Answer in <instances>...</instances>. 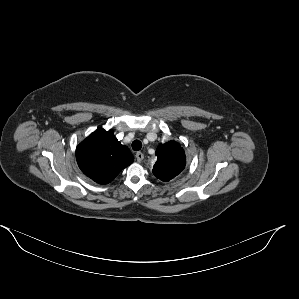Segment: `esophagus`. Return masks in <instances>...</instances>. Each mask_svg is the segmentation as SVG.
Wrapping results in <instances>:
<instances>
[{"label":"esophagus","instance_id":"1","mask_svg":"<svg viewBox=\"0 0 299 299\" xmlns=\"http://www.w3.org/2000/svg\"><path fill=\"white\" fill-rule=\"evenodd\" d=\"M135 156L138 162H141L144 158V154L142 152H137Z\"/></svg>","mask_w":299,"mask_h":299}]
</instances>
